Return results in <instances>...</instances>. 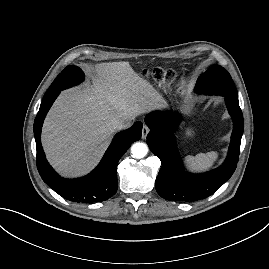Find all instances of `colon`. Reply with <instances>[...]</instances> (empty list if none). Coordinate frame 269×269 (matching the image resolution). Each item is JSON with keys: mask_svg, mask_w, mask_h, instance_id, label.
Returning a JSON list of instances; mask_svg holds the SVG:
<instances>
[{"mask_svg": "<svg viewBox=\"0 0 269 269\" xmlns=\"http://www.w3.org/2000/svg\"><path fill=\"white\" fill-rule=\"evenodd\" d=\"M153 75L157 80L166 79L169 77L168 73H166L164 71H159V72L153 73Z\"/></svg>", "mask_w": 269, "mask_h": 269, "instance_id": "colon-1", "label": "colon"}]
</instances>
